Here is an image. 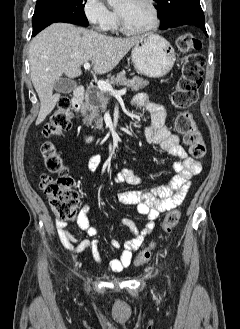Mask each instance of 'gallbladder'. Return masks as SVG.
<instances>
[{
    "label": "gallbladder",
    "mask_w": 240,
    "mask_h": 329,
    "mask_svg": "<svg viewBox=\"0 0 240 329\" xmlns=\"http://www.w3.org/2000/svg\"><path fill=\"white\" fill-rule=\"evenodd\" d=\"M77 87V83L71 79L60 78L54 84V90L59 93H71Z\"/></svg>",
    "instance_id": "1"
}]
</instances>
